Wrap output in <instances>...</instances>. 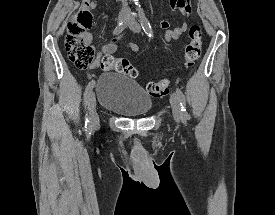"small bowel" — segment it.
Masks as SVG:
<instances>
[{
    "mask_svg": "<svg viewBox=\"0 0 275 215\" xmlns=\"http://www.w3.org/2000/svg\"><path fill=\"white\" fill-rule=\"evenodd\" d=\"M170 5L173 12L179 11L182 15L188 16L192 11L191 0H170ZM98 6V0H92L90 8L95 9ZM160 27L166 29L165 41L170 42L171 40L179 39L187 30L188 25L186 23H181L178 26L170 29V22L168 20H162L160 22ZM88 39L91 43L92 37L88 35ZM118 46V39L112 40L110 43L104 45L98 52L94 61L89 65V68H97L100 65L102 55L113 53ZM127 47L132 52L139 51V47L134 42L127 43Z\"/></svg>",
    "mask_w": 275,
    "mask_h": 215,
    "instance_id": "small-bowel-1",
    "label": "small bowel"
}]
</instances>
